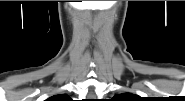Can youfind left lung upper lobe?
<instances>
[{"mask_svg":"<svg viewBox=\"0 0 185 101\" xmlns=\"http://www.w3.org/2000/svg\"><path fill=\"white\" fill-rule=\"evenodd\" d=\"M116 98L118 97V101H128L129 99H133L134 95L130 93H124L120 95H116Z\"/></svg>","mask_w":185,"mask_h":101,"instance_id":"left-lung-upper-lobe-1","label":"left lung upper lobe"}]
</instances>
